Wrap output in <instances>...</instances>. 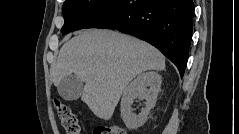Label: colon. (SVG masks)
I'll list each match as a JSON object with an SVG mask.
<instances>
[{
    "mask_svg": "<svg viewBox=\"0 0 239 134\" xmlns=\"http://www.w3.org/2000/svg\"><path fill=\"white\" fill-rule=\"evenodd\" d=\"M55 109L62 120L68 134H79L80 125L76 114L71 108L59 100H55ZM94 134H126L125 130L118 126H97Z\"/></svg>",
    "mask_w": 239,
    "mask_h": 134,
    "instance_id": "5ec220e1",
    "label": "colon"
}]
</instances>
